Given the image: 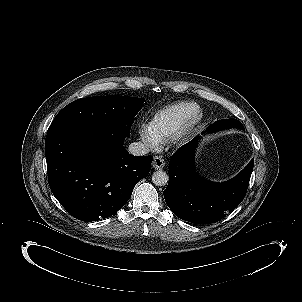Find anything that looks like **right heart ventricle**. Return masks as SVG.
<instances>
[{
  "label": "right heart ventricle",
  "mask_w": 302,
  "mask_h": 302,
  "mask_svg": "<svg viewBox=\"0 0 302 302\" xmlns=\"http://www.w3.org/2000/svg\"><path fill=\"white\" fill-rule=\"evenodd\" d=\"M200 109L194 102L184 101L171 104L157 111L148 127L161 140L168 139L193 113Z\"/></svg>",
  "instance_id": "1"
}]
</instances>
